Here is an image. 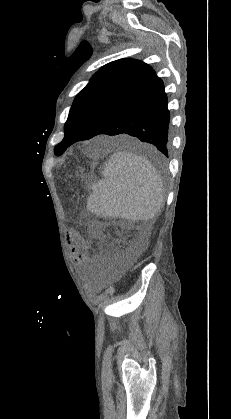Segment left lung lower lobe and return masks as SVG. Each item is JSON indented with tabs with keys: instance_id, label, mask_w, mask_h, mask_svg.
Instances as JSON below:
<instances>
[{
	"instance_id": "left-lung-lower-lobe-1",
	"label": "left lung lower lobe",
	"mask_w": 231,
	"mask_h": 419,
	"mask_svg": "<svg viewBox=\"0 0 231 419\" xmlns=\"http://www.w3.org/2000/svg\"><path fill=\"white\" fill-rule=\"evenodd\" d=\"M128 134L154 145L168 157L169 111L164 85L153 71L86 137Z\"/></svg>"
}]
</instances>
